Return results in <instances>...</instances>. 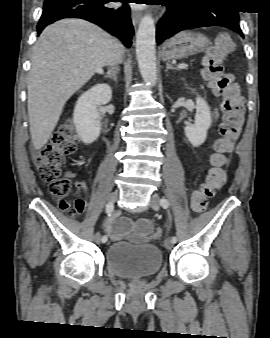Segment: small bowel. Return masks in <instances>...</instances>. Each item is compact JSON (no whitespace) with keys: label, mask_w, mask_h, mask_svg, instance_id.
Segmentation results:
<instances>
[{"label":"small bowel","mask_w":270,"mask_h":338,"mask_svg":"<svg viewBox=\"0 0 270 338\" xmlns=\"http://www.w3.org/2000/svg\"><path fill=\"white\" fill-rule=\"evenodd\" d=\"M77 199L81 198L76 197L74 200ZM128 222L129 219L126 217L118 220V213L114 212L110 217L106 218L103 230L109 234L113 240L133 239L151 242L156 239L152 224L147 219L137 220L133 230L129 229Z\"/></svg>","instance_id":"1"}]
</instances>
